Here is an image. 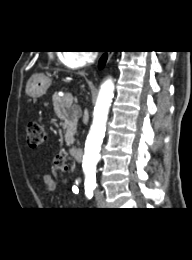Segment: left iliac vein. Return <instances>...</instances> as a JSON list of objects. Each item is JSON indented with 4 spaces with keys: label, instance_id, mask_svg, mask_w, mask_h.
<instances>
[{
    "label": "left iliac vein",
    "instance_id": "4c4485c4",
    "mask_svg": "<svg viewBox=\"0 0 192 260\" xmlns=\"http://www.w3.org/2000/svg\"><path fill=\"white\" fill-rule=\"evenodd\" d=\"M96 201L99 208H106L107 203L105 201V198L101 192L96 193Z\"/></svg>",
    "mask_w": 192,
    "mask_h": 260
}]
</instances>
